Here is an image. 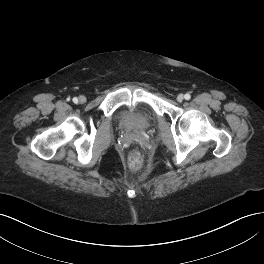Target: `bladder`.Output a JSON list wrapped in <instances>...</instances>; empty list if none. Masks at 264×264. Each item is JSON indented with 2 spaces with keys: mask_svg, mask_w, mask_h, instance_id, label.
I'll return each mask as SVG.
<instances>
[{
  "mask_svg": "<svg viewBox=\"0 0 264 264\" xmlns=\"http://www.w3.org/2000/svg\"><path fill=\"white\" fill-rule=\"evenodd\" d=\"M152 117L146 108L127 109L120 114V124L127 130H143L151 125Z\"/></svg>",
  "mask_w": 264,
  "mask_h": 264,
  "instance_id": "obj_1",
  "label": "bladder"
}]
</instances>
